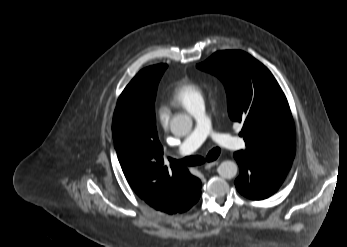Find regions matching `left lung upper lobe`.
<instances>
[{
    "label": "left lung upper lobe",
    "mask_w": 347,
    "mask_h": 247,
    "mask_svg": "<svg viewBox=\"0 0 347 247\" xmlns=\"http://www.w3.org/2000/svg\"><path fill=\"white\" fill-rule=\"evenodd\" d=\"M216 75L227 93L228 114L243 123L246 150L252 156L294 159L295 128L288 101L272 73L239 50L214 53L198 64Z\"/></svg>",
    "instance_id": "5c2ea615"
}]
</instances>
